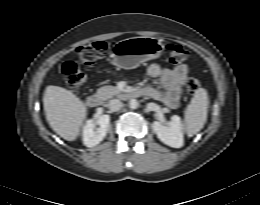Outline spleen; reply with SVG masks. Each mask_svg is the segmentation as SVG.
Segmentation results:
<instances>
[{
	"label": "spleen",
	"instance_id": "spleen-1",
	"mask_svg": "<svg viewBox=\"0 0 260 205\" xmlns=\"http://www.w3.org/2000/svg\"><path fill=\"white\" fill-rule=\"evenodd\" d=\"M209 98L204 88H198L185 110V131L189 137L197 134L207 120Z\"/></svg>",
	"mask_w": 260,
	"mask_h": 205
}]
</instances>
